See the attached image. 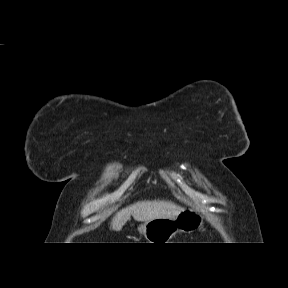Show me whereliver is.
I'll list each match as a JSON object with an SVG mask.
<instances>
[{
    "mask_svg": "<svg viewBox=\"0 0 288 288\" xmlns=\"http://www.w3.org/2000/svg\"><path fill=\"white\" fill-rule=\"evenodd\" d=\"M183 210L171 201H140L118 211L111 221V228L120 231L131 215L136 221L146 222L161 217L174 218Z\"/></svg>",
    "mask_w": 288,
    "mask_h": 288,
    "instance_id": "6515ba94",
    "label": "liver"
}]
</instances>
